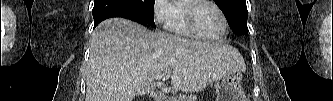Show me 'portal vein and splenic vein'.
I'll return each mask as SVG.
<instances>
[{
	"instance_id": "1",
	"label": "portal vein and splenic vein",
	"mask_w": 333,
	"mask_h": 101,
	"mask_svg": "<svg viewBox=\"0 0 333 101\" xmlns=\"http://www.w3.org/2000/svg\"><path fill=\"white\" fill-rule=\"evenodd\" d=\"M157 80L159 79H165V77L162 74L156 75L155 77Z\"/></svg>"
}]
</instances>
